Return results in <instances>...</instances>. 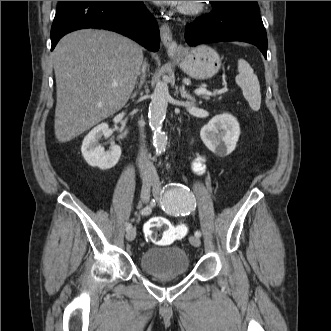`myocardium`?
<instances>
[{"mask_svg":"<svg viewBox=\"0 0 331 331\" xmlns=\"http://www.w3.org/2000/svg\"><path fill=\"white\" fill-rule=\"evenodd\" d=\"M203 10L202 1H184L179 7V11L185 15H194Z\"/></svg>","mask_w":331,"mask_h":331,"instance_id":"1","label":"myocardium"}]
</instances>
